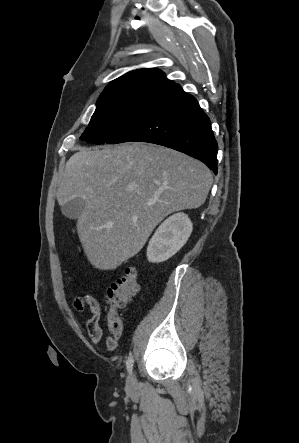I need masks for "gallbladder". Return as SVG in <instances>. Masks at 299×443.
<instances>
[{"mask_svg":"<svg viewBox=\"0 0 299 443\" xmlns=\"http://www.w3.org/2000/svg\"><path fill=\"white\" fill-rule=\"evenodd\" d=\"M85 206H86L85 201L82 198L78 197L66 202L61 207V211L63 215L66 216L67 218L77 219L84 212Z\"/></svg>","mask_w":299,"mask_h":443,"instance_id":"1","label":"gallbladder"}]
</instances>
